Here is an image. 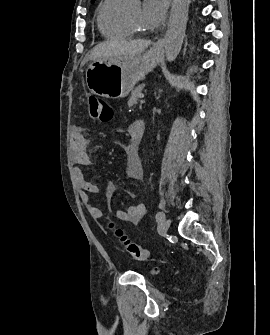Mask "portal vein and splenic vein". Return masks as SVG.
<instances>
[{
	"mask_svg": "<svg viewBox=\"0 0 270 335\" xmlns=\"http://www.w3.org/2000/svg\"><path fill=\"white\" fill-rule=\"evenodd\" d=\"M141 98H142V101H140V102H142L144 104L146 102V98H143V96H141Z\"/></svg>",
	"mask_w": 270,
	"mask_h": 335,
	"instance_id": "18ae733b",
	"label": "portal vein and splenic vein"
}]
</instances>
